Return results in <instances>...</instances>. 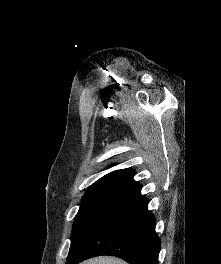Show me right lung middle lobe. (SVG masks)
Masks as SVG:
<instances>
[{
    "mask_svg": "<svg viewBox=\"0 0 221 264\" xmlns=\"http://www.w3.org/2000/svg\"><path fill=\"white\" fill-rule=\"evenodd\" d=\"M124 192V189H96L84 194L74 220L68 258L82 250L102 219Z\"/></svg>",
    "mask_w": 221,
    "mask_h": 264,
    "instance_id": "1",
    "label": "right lung middle lobe"
}]
</instances>
